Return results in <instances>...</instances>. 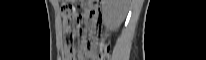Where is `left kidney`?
Listing matches in <instances>:
<instances>
[{
    "instance_id": "obj_1",
    "label": "left kidney",
    "mask_w": 206,
    "mask_h": 60,
    "mask_svg": "<svg viewBox=\"0 0 206 60\" xmlns=\"http://www.w3.org/2000/svg\"><path fill=\"white\" fill-rule=\"evenodd\" d=\"M128 0H103L102 11L107 28L120 26L128 11Z\"/></svg>"
}]
</instances>
